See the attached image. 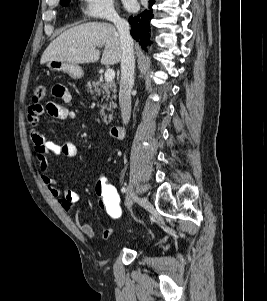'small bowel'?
I'll return each instance as SVG.
<instances>
[{
    "label": "small bowel",
    "instance_id": "obj_1",
    "mask_svg": "<svg viewBox=\"0 0 267 301\" xmlns=\"http://www.w3.org/2000/svg\"><path fill=\"white\" fill-rule=\"evenodd\" d=\"M51 94L55 100L49 101L45 106L38 102H34L28 109L27 121L30 125V136L36 152V160L40 170V177L46 185L49 192L54 197L60 196V190L53 182L48 172V155L53 154L65 158H74L77 154L76 146L71 142L57 144L56 142L47 139L38 130L41 116L47 113L50 117L60 120L74 118L76 112L72 107V96L68 88L63 84L53 86ZM62 101L64 104L57 102ZM79 201V194L72 190L66 189L62 197L59 198V203L66 213L73 211L74 205ZM74 223L76 227L88 238L96 240H106L114 232L113 228L105 229L97 233L91 224L83 219L79 211L74 214Z\"/></svg>",
    "mask_w": 267,
    "mask_h": 301
}]
</instances>
